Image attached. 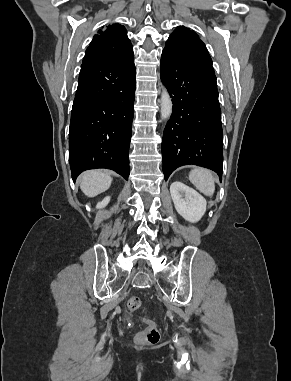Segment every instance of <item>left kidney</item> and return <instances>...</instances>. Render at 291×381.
<instances>
[{
    "instance_id": "1",
    "label": "left kidney",
    "mask_w": 291,
    "mask_h": 381,
    "mask_svg": "<svg viewBox=\"0 0 291 381\" xmlns=\"http://www.w3.org/2000/svg\"><path fill=\"white\" fill-rule=\"evenodd\" d=\"M170 193L177 212L185 220L195 223L206 212L205 198L182 182H173L170 185Z\"/></svg>"
}]
</instances>
